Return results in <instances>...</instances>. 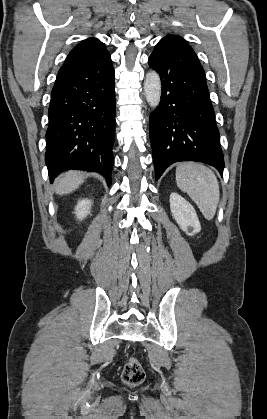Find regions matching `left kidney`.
Segmentation results:
<instances>
[{
    "mask_svg": "<svg viewBox=\"0 0 267 419\" xmlns=\"http://www.w3.org/2000/svg\"><path fill=\"white\" fill-rule=\"evenodd\" d=\"M170 210L180 228L189 236L200 232L201 225L194 207L179 194L170 195Z\"/></svg>",
    "mask_w": 267,
    "mask_h": 419,
    "instance_id": "obj_1",
    "label": "left kidney"
}]
</instances>
